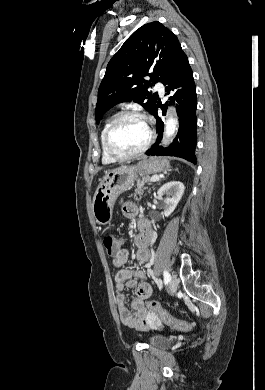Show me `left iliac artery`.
<instances>
[{
    "label": "left iliac artery",
    "instance_id": "obj_1",
    "mask_svg": "<svg viewBox=\"0 0 265 390\" xmlns=\"http://www.w3.org/2000/svg\"><path fill=\"white\" fill-rule=\"evenodd\" d=\"M163 276H164V283L168 284V282L171 280L170 274L167 271H164ZM157 285H158L159 289H161L162 283L160 280L157 281Z\"/></svg>",
    "mask_w": 265,
    "mask_h": 390
}]
</instances>
